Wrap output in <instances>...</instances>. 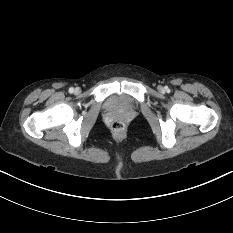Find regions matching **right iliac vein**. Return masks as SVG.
Wrapping results in <instances>:
<instances>
[{"label": "right iliac vein", "mask_w": 233, "mask_h": 233, "mask_svg": "<svg viewBox=\"0 0 233 233\" xmlns=\"http://www.w3.org/2000/svg\"><path fill=\"white\" fill-rule=\"evenodd\" d=\"M74 92H75V94H79L80 93V88H76Z\"/></svg>", "instance_id": "63e3f726"}]
</instances>
